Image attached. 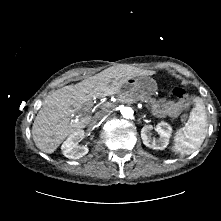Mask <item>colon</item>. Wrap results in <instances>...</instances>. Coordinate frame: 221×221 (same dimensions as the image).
<instances>
[{"instance_id":"obj_1","label":"colon","mask_w":221,"mask_h":221,"mask_svg":"<svg viewBox=\"0 0 221 221\" xmlns=\"http://www.w3.org/2000/svg\"><path fill=\"white\" fill-rule=\"evenodd\" d=\"M171 93L176 99L184 102L185 104H187L189 106L190 99L187 96V93L183 88L175 87L174 89H172Z\"/></svg>"}]
</instances>
